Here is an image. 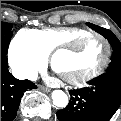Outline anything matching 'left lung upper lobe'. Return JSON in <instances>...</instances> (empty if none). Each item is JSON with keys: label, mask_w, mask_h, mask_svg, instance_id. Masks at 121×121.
Segmentation results:
<instances>
[{"label": "left lung upper lobe", "mask_w": 121, "mask_h": 121, "mask_svg": "<svg viewBox=\"0 0 121 121\" xmlns=\"http://www.w3.org/2000/svg\"><path fill=\"white\" fill-rule=\"evenodd\" d=\"M87 25L96 32L103 35L105 38H107L112 46V62L109 66V69L107 70V73L121 75V43L119 42L117 37L110 30L94 25L92 23H87Z\"/></svg>", "instance_id": "1"}]
</instances>
